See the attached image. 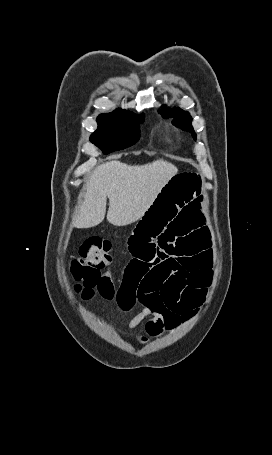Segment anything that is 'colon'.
<instances>
[{
  "instance_id": "colon-1",
  "label": "colon",
  "mask_w": 272,
  "mask_h": 455,
  "mask_svg": "<svg viewBox=\"0 0 272 455\" xmlns=\"http://www.w3.org/2000/svg\"><path fill=\"white\" fill-rule=\"evenodd\" d=\"M112 262L109 240L90 237L81 245L79 255L71 263V273L76 281L74 290L82 300H91L96 291L105 299L115 298L117 291L111 277L100 272Z\"/></svg>"
}]
</instances>
